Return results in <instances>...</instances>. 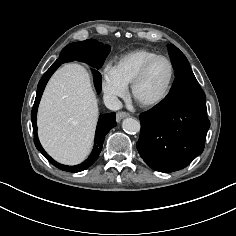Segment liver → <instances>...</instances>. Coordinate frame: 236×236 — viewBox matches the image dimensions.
Segmentation results:
<instances>
[{
  "mask_svg": "<svg viewBox=\"0 0 236 236\" xmlns=\"http://www.w3.org/2000/svg\"><path fill=\"white\" fill-rule=\"evenodd\" d=\"M98 105L90 76L78 64H66L49 80L37 116L38 135L47 153L60 163H81L90 153Z\"/></svg>",
  "mask_w": 236,
  "mask_h": 236,
  "instance_id": "1",
  "label": "liver"
}]
</instances>
